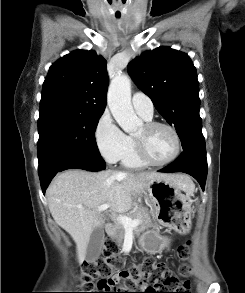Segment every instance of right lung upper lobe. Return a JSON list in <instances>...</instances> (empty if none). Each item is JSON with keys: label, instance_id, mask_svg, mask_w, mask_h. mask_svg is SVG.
Masks as SVG:
<instances>
[{"label": "right lung upper lobe", "instance_id": "cb5924a9", "mask_svg": "<svg viewBox=\"0 0 245 293\" xmlns=\"http://www.w3.org/2000/svg\"><path fill=\"white\" fill-rule=\"evenodd\" d=\"M106 65L94 51L76 50L60 58L43 83L40 112L102 114L108 87Z\"/></svg>", "mask_w": 245, "mask_h": 293}]
</instances>
